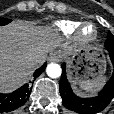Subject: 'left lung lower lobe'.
Segmentation results:
<instances>
[{"label": "left lung lower lobe", "mask_w": 114, "mask_h": 114, "mask_svg": "<svg viewBox=\"0 0 114 114\" xmlns=\"http://www.w3.org/2000/svg\"><path fill=\"white\" fill-rule=\"evenodd\" d=\"M109 52L110 59L114 66V46H105ZM62 75L59 83L60 94L63 105L69 110L80 114H95L102 111L114 97V72L97 97L83 99L77 97L71 90L66 78L65 64L62 65Z\"/></svg>", "instance_id": "0a47b994"}]
</instances>
